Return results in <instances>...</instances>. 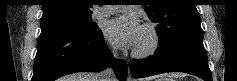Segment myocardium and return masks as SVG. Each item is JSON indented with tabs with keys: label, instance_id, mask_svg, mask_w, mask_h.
I'll use <instances>...</instances> for the list:
<instances>
[{
	"label": "myocardium",
	"instance_id": "obj_1",
	"mask_svg": "<svg viewBox=\"0 0 237 81\" xmlns=\"http://www.w3.org/2000/svg\"><path fill=\"white\" fill-rule=\"evenodd\" d=\"M142 29H144L149 34L150 42H149V45L145 49L143 50L134 49L132 51V55L135 58H139V59H144L153 55L158 50L161 43L160 35L157 29L153 25L149 23H145Z\"/></svg>",
	"mask_w": 237,
	"mask_h": 81
}]
</instances>
